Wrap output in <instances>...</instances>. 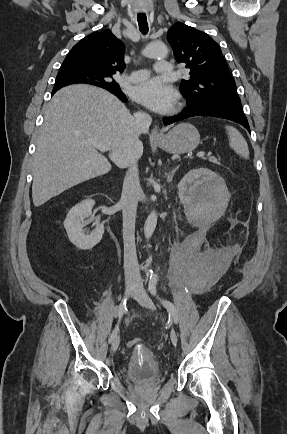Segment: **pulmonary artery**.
Segmentation results:
<instances>
[{
  "label": "pulmonary artery",
  "instance_id": "e3ab8cb5",
  "mask_svg": "<svg viewBox=\"0 0 287 434\" xmlns=\"http://www.w3.org/2000/svg\"><path fill=\"white\" fill-rule=\"evenodd\" d=\"M154 70L156 73L161 75H169L172 74L173 72L171 64L164 61L156 62L154 66ZM148 76H149V72L147 70L140 69L137 71H133L130 75L126 76L125 79L129 82H138V81L145 80L146 78H148Z\"/></svg>",
  "mask_w": 287,
  "mask_h": 434
}]
</instances>
